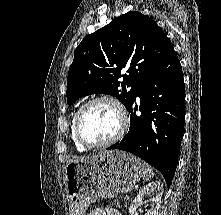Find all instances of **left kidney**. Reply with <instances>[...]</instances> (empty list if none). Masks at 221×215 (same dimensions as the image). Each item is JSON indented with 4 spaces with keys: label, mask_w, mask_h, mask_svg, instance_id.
Listing matches in <instances>:
<instances>
[{
    "label": "left kidney",
    "mask_w": 221,
    "mask_h": 215,
    "mask_svg": "<svg viewBox=\"0 0 221 215\" xmlns=\"http://www.w3.org/2000/svg\"><path fill=\"white\" fill-rule=\"evenodd\" d=\"M163 193V185L160 181L151 182L139 190L136 198L129 207V215H137L136 209L143 204L145 197L150 198L149 209L145 215H158Z\"/></svg>",
    "instance_id": "obj_1"
}]
</instances>
